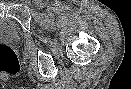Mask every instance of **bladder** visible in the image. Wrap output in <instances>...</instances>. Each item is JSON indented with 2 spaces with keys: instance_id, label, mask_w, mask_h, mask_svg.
<instances>
[{
  "instance_id": "31cf9c89",
  "label": "bladder",
  "mask_w": 131,
  "mask_h": 89,
  "mask_svg": "<svg viewBox=\"0 0 131 89\" xmlns=\"http://www.w3.org/2000/svg\"><path fill=\"white\" fill-rule=\"evenodd\" d=\"M21 39L18 24L8 18H0V41L16 43Z\"/></svg>"
}]
</instances>
